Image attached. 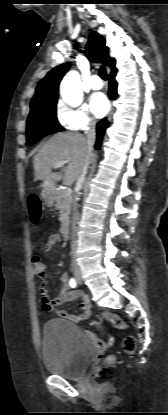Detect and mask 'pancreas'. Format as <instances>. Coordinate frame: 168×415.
<instances>
[{"instance_id": "1", "label": "pancreas", "mask_w": 168, "mask_h": 415, "mask_svg": "<svg viewBox=\"0 0 168 415\" xmlns=\"http://www.w3.org/2000/svg\"><path fill=\"white\" fill-rule=\"evenodd\" d=\"M56 207L59 209V221L64 224L69 221V214L71 211L72 196L66 194L65 190H59L54 195Z\"/></svg>"}]
</instances>
